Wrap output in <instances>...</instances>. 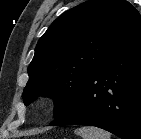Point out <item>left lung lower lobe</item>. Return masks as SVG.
I'll list each match as a JSON object with an SVG mask.
<instances>
[{
  "mask_svg": "<svg viewBox=\"0 0 141 139\" xmlns=\"http://www.w3.org/2000/svg\"><path fill=\"white\" fill-rule=\"evenodd\" d=\"M73 124L141 139V31L87 76L72 103L50 123Z\"/></svg>",
  "mask_w": 141,
  "mask_h": 139,
  "instance_id": "obj_1",
  "label": "left lung lower lobe"
}]
</instances>
